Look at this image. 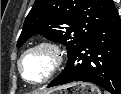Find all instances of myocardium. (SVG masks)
Here are the masks:
<instances>
[{
	"instance_id": "1",
	"label": "myocardium",
	"mask_w": 121,
	"mask_h": 94,
	"mask_svg": "<svg viewBox=\"0 0 121 94\" xmlns=\"http://www.w3.org/2000/svg\"><path fill=\"white\" fill-rule=\"evenodd\" d=\"M38 51L44 52L49 57L50 67L48 72L44 75L43 78H41L38 81H31L24 76L22 69V62L26 56ZM63 63H64V54L61 47L58 44L51 41H40L23 51V53L21 54V56L17 61V67L20 75L22 76L25 82L33 86H40L50 81L59 72Z\"/></svg>"
}]
</instances>
